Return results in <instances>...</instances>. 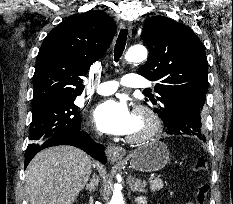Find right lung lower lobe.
<instances>
[{"instance_id":"98d812e1","label":"right lung lower lobe","mask_w":233,"mask_h":204,"mask_svg":"<svg viewBox=\"0 0 233 204\" xmlns=\"http://www.w3.org/2000/svg\"><path fill=\"white\" fill-rule=\"evenodd\" d=\"M56 145H71L78 147L87 152L90 156L97 159L98 161L104 164L106 163V156L104 155V146L94 142L87 133L82 131H76L58 133L46 140L39 148L35 150H26L24 168L27 167L29 162L39 151L47 147Z\"/></svg>"}]
</instances>
